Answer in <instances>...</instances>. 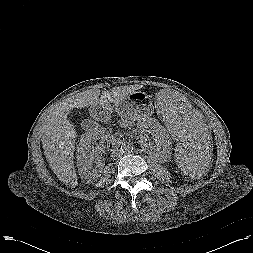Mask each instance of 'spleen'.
Segmentation results:
<instances>
[{
	"instance_id": "3e777b00",
	"label": "spleen",
	"mask_w": 253,
	"mask_h": 253,
	"mask_svg": "<svg viewBox=\"0 0 253 253\" xmlns=\"http://www.w3.org/2000/svg\"><path fill=\"white\" fill-rule=\"evenodd\" d=\"M154 107L172 137L181 173L190 182L205 181L215 169L217 152L197 107L173 89L160 91Z\"/></svg>"
}]
</instances>
